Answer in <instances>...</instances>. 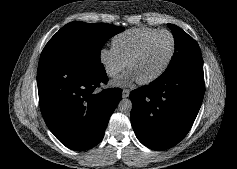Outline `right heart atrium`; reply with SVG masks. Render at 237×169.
Masks as SVG:
<instances>
[{"mask_svg": "<svg viewBox=\"0 0 237 169\" xmlns=\"http://www.w3.org/2000/svg\"><path fill=\"white\" fill-rule=\"evenodd\" d=\"M99 59L106 73L110 77H117L126 67V62L113 48H102Z\"/></svg>", "mask_w": 237, "mask_h": 169, "instance_id": "obj_1", "label": "right heart atrium"}]
</instances>
